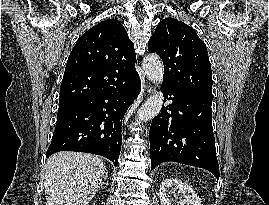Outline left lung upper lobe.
Here are the masks:
<instances>
[{
	"label": "left lung upper lobe",
	"mask_w": 269,
	"mask_h": 205,
	"mask_svg": "<svg viewBox=\"0 0 269 205\" xmlns=\"http://www.w3.org/2000/svg\"><path fill=\"white\" fill-rule=\"evenodd\" d=\"M164 63L163 84L182 92L212 93V71L205 43L188 25L165 18L148 42Z\"/></svg>",
	"instance_id": "left-lung-upper-lobe-1"
}]
</instances>
